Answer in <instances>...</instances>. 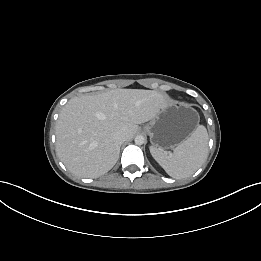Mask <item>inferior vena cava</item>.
<instances>
[{"instance_id":"inferior-vena-cava-1","label":"inferior vena cava","mask_w":261,"mask_h":261,"mask_svg":"<svg viewBox=\"0 0 261 261\" xmlns=\"http://www.w3.org/2000/svg\"><path fill=\"white\" fill-rule=\"evenodd\" d=\"M113 137L114 140L119 144H122L124 141L127 140L126 134L120 131L116 132Z\"/></svg>"}]
</instances>
